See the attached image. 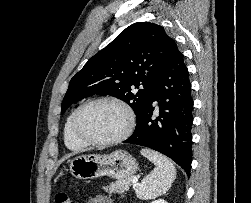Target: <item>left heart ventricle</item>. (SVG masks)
I'll return each mask as SVG.
<instances>
[{"label":"left heart ventricle","instance_id":"left-heart-ventricle-1","mask_svg":"<svg viewBox=\"0 0 251 203\" xmlns=\"http://www.w3.org/2000/svg\"><path fill=\"white\" fill-rule=\"evenodd\" d=\"M126 124V114L119 106L102 102L93 104L83 111L79 129L91 139L106 140L119 135Z\"/></svg>","mask_w":251,"mask_h":203}]
</instances>
